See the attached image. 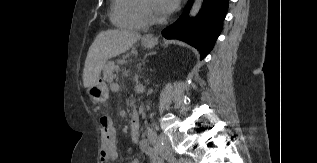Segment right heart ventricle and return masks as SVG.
Returning a JSON list of instances; mask_svg holds the SVG:
<instances>
[{
	"label": "right heart ventricle",
	"mask_w": 317,
	"mask_h": 163,
	"mask_svg": "<svg viewBox=\"0 0 317 163\" xmlns=\"http://www.w3.org/2000/svg\"><path fill=\"white\" fill-rule=\"evenodd\" d=\"M110 19L124 29H144L147 27L140 6V0H112Z\"/></svg>",
	"instance_id": "obj_1"
}]
</instances>
